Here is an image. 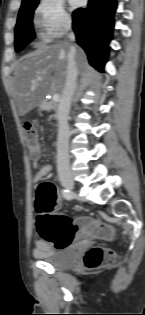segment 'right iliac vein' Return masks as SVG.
<instances>
[{
  "instance_id": "63e3f726",
  "label": "right iliac vein",
  "mask_w": 145,
  "mask_h": 315,
  "mask_svg": "<svg viewBox=\"0 0 145 315\" xmlns=\"http://www.w3.org/2000/svg\"><path fill=\"white\" fill-rule=\"evenodd\" d=\"M62 185L70 191L74 190V182L71 179H62Z\"/></svg>"
}]
</instances>
